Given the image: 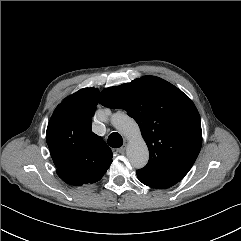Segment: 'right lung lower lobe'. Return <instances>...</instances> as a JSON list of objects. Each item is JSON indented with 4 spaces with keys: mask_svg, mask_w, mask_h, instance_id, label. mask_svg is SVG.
Listing matches in <instances>:
<instances>
[{
    "mask_svg": "<svg viewBox=\"0 0 241 241\" xmlns=\"http://www.w3.org/2000/svg\"><path fill=\"white\" fill-rule=\"evenodd\" d=\"M59 175V177L65 181L66 183L70 184V185H75V186H79L82 185L83 183L80 182L78 179L74 178L73 176L64 173V172H58L57 173Z\"/></svg>",
    "mask_w": 241,
    "mask_h": 241,
    "instance_id": "1",
    "label": "right lung lower lobe"
}]
</instances>
